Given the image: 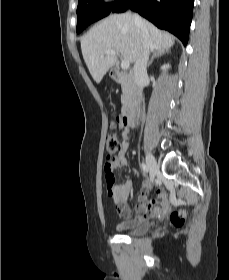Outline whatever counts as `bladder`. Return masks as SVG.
Masks as SVG:
<instances>
[{"label":"bladder","mask_w":229,"mask_h":280,"mask_svg":"<svg viewBox=\"0 0 229 280\" xmlns=\"http://www.w3.org/2000/svg\"><path fill=\"white\" fill-rule=\"evenodd\" d=\"M152 226V222L149 219L140 220L137 225L124 230L127 235H143L147 233Z\"/></svg>","instance_id":"obj_1"}]
</instances>
